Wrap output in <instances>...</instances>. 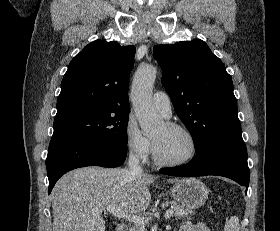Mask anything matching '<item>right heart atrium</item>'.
I'll list each match as a JSON object with an SVG mask.
<instances>
[{
  "mask_svg": "<svg viewBox=\"0 0 280 231\" xmlns=\"http://www.w3.org/2000/svg\"><path fill=\"white\" fill-rule=\"evenodd\" d=\"M124 141L126 150L141 159H147L152 153L150 139L142 134L136 121L132 118H129L126 123Z\"/></svg>",
  "mask_w": 280,
  "mask_h": 231,
  "instance_id": "1",
  "label": "right heart atrium"
}]
</instances>
